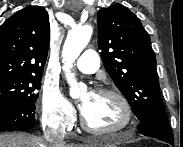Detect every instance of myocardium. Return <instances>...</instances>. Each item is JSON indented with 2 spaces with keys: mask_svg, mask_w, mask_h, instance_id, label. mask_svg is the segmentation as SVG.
I'll use <instances>...</instances> for the list:
<instances>
[{
  "mask_svg": "<svg viewBox=\"0 0 183 147\" xmlns=\"http://www.w3.org/2000/svg\"><path fill=\"white\" fill-rule=\"evenodd\" d=\"M95 94L108 95L116 98L125 112V120L121 126L108 128V129H97L91 126L86 120L83 112L81 113V125L87 131L95 135H110L116 134L130 129L134 124V113L129 100L119 91L111 88H99L95 91Z\"/></svg>",
  "mask_w": 183,
  "mask_h": 147,
  "instance_id": "f54148a6",
  "label": "myocardium"
}]
</instances>
